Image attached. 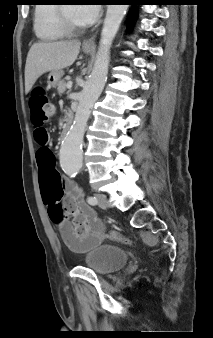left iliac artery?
Listing matches in <instances>:
<instances>
[{
	"label": "left iliac artery",
	"instance_id": "obj_1",
	"mask_svg": "<svg viewBox=\"0 0 213 338\" xmlns=\"http://www.w3.org/2000/svg\"><path fill=\"white\" fill-rule=\"evenodd\" d=\"M87 202H88L90 205H96V204H97V199H96V197L89 196V197H87Z\"/></svg>",
	"mask_w": 213,
	"mask_h": 338
}]
</instances>
